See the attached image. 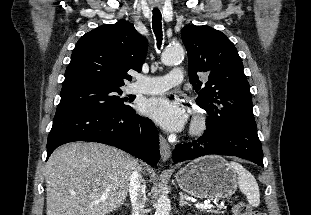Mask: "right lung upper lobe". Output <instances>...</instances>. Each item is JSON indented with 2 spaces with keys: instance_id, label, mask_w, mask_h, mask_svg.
Returning <instances> with one entry per match:
<instances>
[{
  "instance_id": "cb5924a9",
  "label": "right lung upper lobe",
  "mask_w": 311,
  "mask_h": 215,
  "mask_svg": "<svg viewBox=\"0 0 311 215\" xmlns=\"http://www.w3.org/2000/svg\"><path fill=\"white\" fill-rule=\"evenodd\" d=\"M147 49L146 38L129 21L99 26L76 43L63 86L94 83L121 87L124 79L132 78L129 69L141 71Z\"/></svg>"
}]
</instances>
